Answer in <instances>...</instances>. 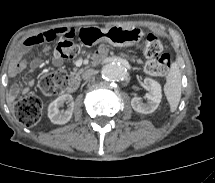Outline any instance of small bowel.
<instances>
[{"mask_svg": "<svg viewBox=\"0 0 215 183\" xmlns=\"http://www.w3.org/2000/svg\"><path fill=\"white\" fill-rule=\"evenodd\" d=\"M71 31L68 28H58V29H50V30H45L43 32H40L38 34H35L28 38L26 40V47L30 50H34V44L36 42H40V46L49 43L53 41L58 35L61 33H65ZM39 46V47H40ZM53 63L55 65H59L61 63V60L58 58H54ZM33 66L34 67H41L43 65V61L40 59H36L33 61ZM27 67V62L26 60L22 57V55H18L14 61V63L10 66L9 68V75L10 76H16L23 72L25 68ZM31 86V83L29 84ZM29 90V87H25L22 89V92L25 93ZM19 88H13L10 92V99H14L18 93H19Z\"/></svg>", "mask_w": 215, "mask_h": 183, "instance_id": "1", "label": "small bowel"}]
</instances>
